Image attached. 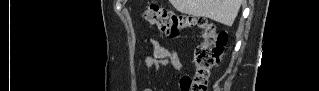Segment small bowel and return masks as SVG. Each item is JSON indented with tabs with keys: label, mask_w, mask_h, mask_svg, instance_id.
<instances>
[{
	"label": "small bowel",
	"mask_w": 319,
	"mask_h": 91,
	"mask_svg": "<svg viewBox=\"0 0 319 91\" xmlns=\"http://www.w3.org/2000/svg\"><path fill=\"white\" fill-rule=\"evenodd\" d=\"M153 56L147 57L145 66L155 68L157 66H169L177 71L183 69L179 53L170 48H164L158 42L152 41Z\"/></svg>",
	"instance_id": "small-bowel-1"
}]
</instances>
